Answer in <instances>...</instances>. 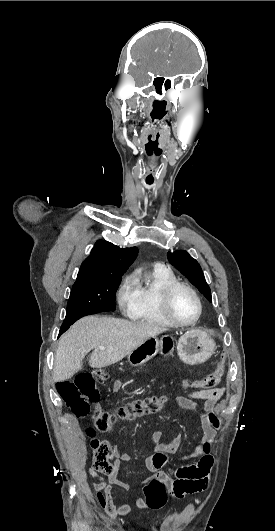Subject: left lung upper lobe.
I'll use <instances>...</instances> for the list:
<instances>
[{
  "label": "left lung upper lobe",
  "mask_w": 275,
  "mask_h": 531,
  "mask_svg": "<svg viewBox=\"0 0 275 531\" xmlns=\"http://www.w3.org/2000/svg\"><path fill=\"white\" fill-rule=\"evenodd\" d=\"M167 257L169 262L185 275V277L198 288L208 301L212 302L211 290L206 283L199 263L186 251L168 252Z\"/></svg>",
  "instance_id": "5c2ea615"
}]
</instances>
